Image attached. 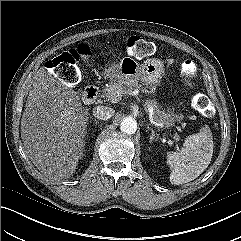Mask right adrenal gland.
Masks as SVG:
<instances>
[{"label": "right adrenal gland", "mask_w": 241, "mask_h": 241, "mask_svg": "<svg viewBox=\"0 0 241 241\" xmlns=\"http://www.w3.org/2000/svg\"><path fill=\"white\" fill-rule=\"evenodd\" d=\"M92 120H93V118H92ZM94 123L97 125V124H99V122L96 120V119H94Z\"/></svg>", "instance_id": "2a0ac1e0"}]
</instances>
